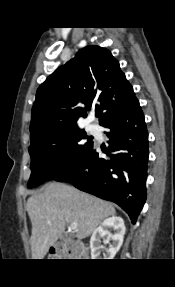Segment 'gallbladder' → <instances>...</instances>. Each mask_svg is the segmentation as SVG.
<instances>
[{"mask_svg":"<svg viewBox=\"0 0 175 287\" xmlns=\"http://www.w3.org/2000/svg\"><path fill=\"white\" fill-rule=\"evenodd\" d=\"M74 235L72 233H64L62 236H61V240L64 241V240H67V239H71L73 238Z\"/></svg>","mask_w":175,"mask_h":287,"instance_id":"obj_1","label":"gallbladder"}]
</instances>
